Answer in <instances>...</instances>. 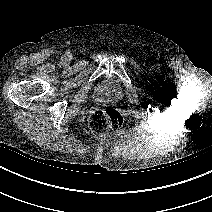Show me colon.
<instances>
[{
	"label": "colon",
	"instance_id": "obj_1",
	"mask_svg": "<svg viewBox=\"0 0 212 212\" xmlns=\"http://www.w3.org/2000/svg\"><path fill=\"white\" fill-rule=\"evenodd\" d=\"M90 128L97 133L119 130L124 123L122 114L112 108L105 107L94 110L88 118Z\"/></svg>",
	"mask_w": 212,
	"mask_h": 212
}]
</instances>
